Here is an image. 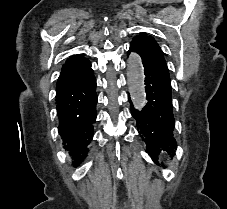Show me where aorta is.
Here are the masks:
<instances>
[{
  "mask_svg": "<svg viewBox=\"0 0 227 209\" xmlns=\"http://www.w3.org/2000/svg\"><path fill=\"white\" fill-rule=\"evenodd\" d=\"M127 81L133 104L142 109L146 103L145 75L141 57L135 52L127 60Z\"/></svg>",
  "mask_w": 227,
  "mask_h": 209,
  "instance_id": "obj_1",
  "label": "aorta"
}]
</instances>
